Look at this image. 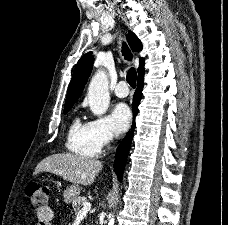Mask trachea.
Segmentation results:
<instances>
[{
	"mask_svg": "<svg viewBox=\"0 0 228 225\" xmlns=\"http://www.w3.org/2000/svg\"><path fill=\"white\" fill-rule=\"evenodd\" d=\"M122 54L125 57V59L131 61L132 59V54L130 49L126 46V44L123 42V46H122ZM127 82L129 83V85L132 88H135L136 86V79H137V72L135 70V68H131L128 72H127Z\"/></svg>",
	"mask_w": 228,
	"mask_h": 225,
	"instance_id": "1",
	"label": "trachea"
}]
</instances>
